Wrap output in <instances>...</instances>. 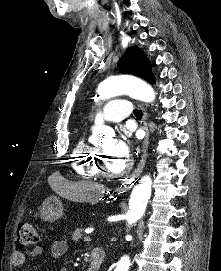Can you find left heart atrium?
Wrapping results in <instances>:
<instances>
[{"mask_svg":"<svg viewBox=\"0 0 221 271\" xmlns=\"http://www.w3.org/2000/svg\"><path fill=\"white\" fill-rule=\"evenodd\" d=\"M117 147L120 148H111L110 157H129L130 148L132 147V142H117Z\"/></svg>","mask_w":221,"mask_h":271,"instance_id":"39dd6f15","label":"left heart atrium"}]
</instances>
